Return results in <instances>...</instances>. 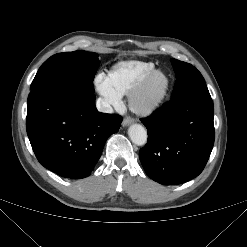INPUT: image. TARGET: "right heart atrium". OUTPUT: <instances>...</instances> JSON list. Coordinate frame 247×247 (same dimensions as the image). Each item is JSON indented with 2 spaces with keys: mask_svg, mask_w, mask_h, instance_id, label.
I'll use <instances>...</instances> for the list:
<instances>
[{
  "mask_svg": "<svg viewBox=\"0 0 247 247\" xmlns=\"http://www.w3.org/2000/svg\"><path fill=\"white\" fill-rule=\"evenodd\" d=\"M94 82L98 92L104 98L108 107H112V108L120 107L121 96L113 90L107 75L98 74L95 77Z\"/></svg>",
  "mask_w": 247,
  "mask_h": 247,
  "instance_id": "right-heart-atrium-1",
  "label": "right heart atrium"
}]
</instances>
